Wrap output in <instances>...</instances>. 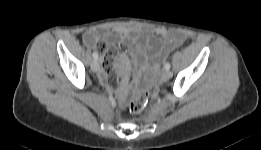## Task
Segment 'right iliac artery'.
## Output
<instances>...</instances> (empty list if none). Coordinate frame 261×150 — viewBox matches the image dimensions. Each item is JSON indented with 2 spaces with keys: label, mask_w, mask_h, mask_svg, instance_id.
<instances>
[{
  "label": "right iliac artery",
  "mask_w": 261,
  "mask_h": 150,
  "mask_svg": "<svg viewBox=\"0 0 261 150\" xmlns=\"http://www.w3.org/2000/svg\"><path fill=\"white\" fill-rule=\"evenodd\" d=\"M93 58H94L95 60L98 59V54H97L96 52H93Z\"/></svg>",
  "instance_id": "right-iliac-artery-1"
}]
</instances>
